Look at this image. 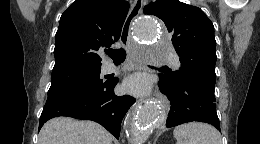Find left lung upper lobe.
Listing matches in <instances>:
<instances>
[{"label": "left lung upper lobe", "instance_id": "5c2ea615", "mask_svg": "<svg viewBox=\"0 0 260 144\" xmlns=\"http://www.w3.org/2000/svg\"><path fill=\"white\" fill-rule=\"evenodd\" d=\"M144 13L164 21L172 35V44L180 57L181 68L167 71L172 82L177 83L193 76L215 87L216 41L214 26L198 7L178 0H157L144 7Z\"/></svg>", "mask_w": 260, "mask_h": 144}]
</instances>
